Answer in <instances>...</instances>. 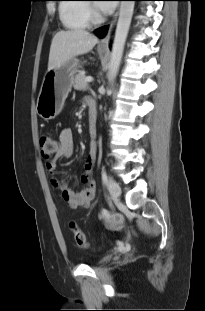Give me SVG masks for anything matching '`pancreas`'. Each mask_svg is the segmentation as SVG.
<instances>
[{
    "label": "pancreas",
    "instance_id": "1",
    "mask_svg": "<svg viewBox=\"0 0 205 311\" xmlns=\"http://www.w3.org/2000/svg\"><path fill=\"white\" fill-rule=\"evenodd\" d=\"M86 76L84 71H79L73 78L74 89L80 91H86L88 88V83L85 81Z\"/></svg>",
    "mask_w": 205,
    "mask_h": 311
}]
</instances>
